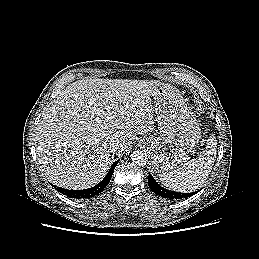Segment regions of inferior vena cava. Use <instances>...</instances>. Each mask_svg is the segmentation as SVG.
I'll use <instances>...</instances> for the list:
<instances>
[{
  "mask_svg": "<svg viewBox=\"0 0 259 259\" xmlns=\"http://www.w3.org/2000/svg\"><path fill=\"white\" fill-rule=\"evenodd\" d=\"M120 147H121V144H119V143H116V144H112V145H111V149H112L113 151H117Z\"/></svg>",
  "mask_w": 259,
  "mask_h": 259,
  "instance_id": "1",
  "label": "inferior vena cava"
}]
</instances>
